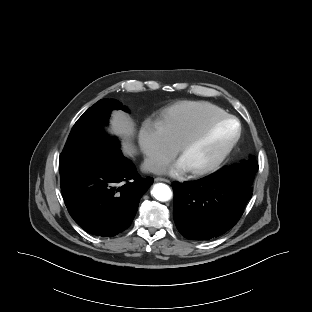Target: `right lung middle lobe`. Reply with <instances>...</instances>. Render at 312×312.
<instances>
[{"label": "right lung middle lobe", "mask_w": 312, "mask_h": 312, "mask_svg": "<svg viewBox=\"0 0 312 312\" xmlns=\"http://www.w3.org/2000/svg\"><path fill=\"white\" fill-rule=\"evenodd\" d=\"M113 109L127 110L117 100L102 99L76 121L60 155L61 182L70 180L119 149L117 139L102 130Z\"/></svg>", "instance_id": "1"}]
</instances>
